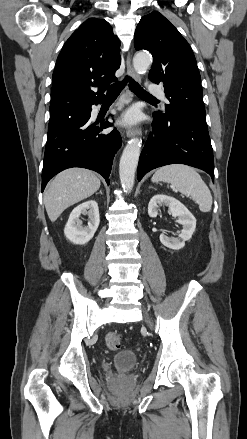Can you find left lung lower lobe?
I'll return each instance as SVG.
<instances>
[{
	"instance_id": "obj_1",
	"label": "left lung lower lobe",
	"mask_w": 247,
	"mask_h": 439,
	"mask_svg": "<svg viewBox=\"0 0 247 439\" xmlns=\"http://www.w3.org/2000/svg\"><path fill=\"white\" fill-rule=\"evenodd\" d=\"M175 163L200 168L214 180L207 124L188 116L163 119L154 113L152 132L139 159L138 180L152 169Z\"/></svg>"
}]
</instances>
